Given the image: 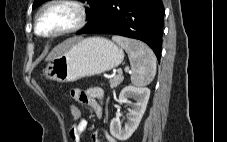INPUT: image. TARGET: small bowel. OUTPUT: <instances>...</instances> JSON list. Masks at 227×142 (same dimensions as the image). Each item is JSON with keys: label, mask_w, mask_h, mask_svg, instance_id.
<instances>
[{"label": "small bowel", "mask_w": 227, "mask_h": 142, "mask_svg": "<svg viewBox=\"0 0 227 142\" xmlns=\"http://www.w3.org/2000/svg\"><path fill=\"white\" fill-rule=\"evenodd\" d=\"M72 98L79 102L90 106L96 113L98 118L103 115L101 106V100L104 97V93L100 88H88L80 89L76 88L71 91ZM87 128V121L84 119L79 124H74L69 130V136L72 142H81V137ZM107 142H117L111 135L105 133ZM92 142H99V132H95L92 135Z\"/></svg>", "instance_id": "small-bowel-1"}]
</instances>
